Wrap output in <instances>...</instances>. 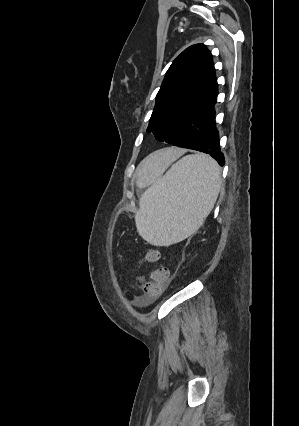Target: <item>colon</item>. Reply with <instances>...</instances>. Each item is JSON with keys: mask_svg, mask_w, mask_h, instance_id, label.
Listing matches in <instances>:
<instances>
[{"mask_svg": "<svg viewBox=\"0 0 299 426\" xmlns=\"http://www.w3.org/2000/svg\"><path fill=\"white\" fill-rule=\"evenodd\" d=\"M160 253L157 249H149L144 257L148 263L159 261ZM169 278V270L166 267H159L153 270L148 280L142 285L141 302L148 306L154 303L164 292Z\"/></svg>", "mask_w": 299, "mask_h": 426, "instance_id": "colon-1", "label": "colon"}]
</instances>
